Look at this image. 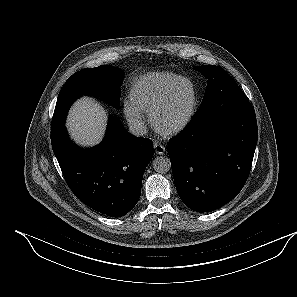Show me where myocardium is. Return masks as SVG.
<instances>
[{
  "instance_id": "myocardium-1",
  "label": "myocardium",
  "mask_w": 297,
  "mask_h": 297,
  "mask_svg": "<svg viewBox=\"0 0 297 297\" xmlns=\"http://www.w3.org/2000/svg\"><path fill=\"white\" fill-rule=\"evenodd\" d=\"M181 83H187L190 88V102L184 116L174 125L170 127H161L158 123L160 113L170 103L174 92ZM197 91L194 83L187 77L179 76L170 85L164 96L156 103V105L149 112L150 123L154 130L163 136H174L182 132L192 121L197 108Z\"/></svg>"
}]
</instances>
